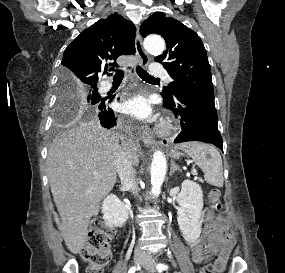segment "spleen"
I'll use <instances>...</instances> for the list:
<instances>
[{
  "label": "spleen",
  "mask_w": 285,
  "mask_h": 273,
  "mask_svg": "<svg viewBox=\"0 0 285 273\" xmlns=\"http://www.w3.org/2000/svg\"><path fill=\"white\" fill-rule=\"evenodd\" d=\"M175 148L183 150L195 161L204 172V179L208 184L223 186L222 158L216 148L196 141L181 143Z\"/></svg>",
  "instance_id": "obj_1"
}]
</instances>
